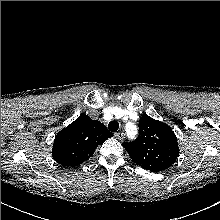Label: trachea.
<instances>
[{
	"mask_svg": "<svg viewBox=\"0 0 220 220\" xmlns=\"http://www.w3.org/2000/svg\"><path fill=\"white\" fill-rule=\"evenodd\" d=\"M108 129L111 131V132H115L119 129V123L117 121H111L109 122L108 124Z\"/></svg>",
	"mask_w": 220,
	"mask_h": 220,
	"instance_id": "1",
	"label": "trachea"
}]
</instances>
